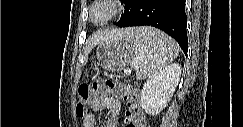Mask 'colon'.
I'll return each mask as SVG.
<instances>
[{
	"label": "colon",
	"instance_id": "colon-1",
	"mask_svg": "<svg viewBox=\"0 0 243 127\" xmlns=\"http://www.w3.org/2000/svg\"><path fill=\"white\" fill-rule=\"evenodd\" d=\"M79 101L76 104V115L82 118L89 106L99 99L111 97L118 101H124L126 111L123 123L126 127H145L144 115L138 102V96L132 85L124 84L114 79H107L104 86L87 84L78 86Z\"/></svg>",
	"mask_w": 243,
	"mask_h": 127
}]
</instances>
